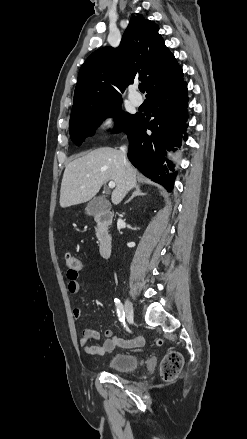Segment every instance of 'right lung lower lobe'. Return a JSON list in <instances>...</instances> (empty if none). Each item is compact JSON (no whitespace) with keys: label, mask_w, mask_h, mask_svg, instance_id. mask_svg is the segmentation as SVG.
Instances as JSON below:
<instances>
[{"label":"right lung lower lobe","mask_w":247,"mask_h":439,"mask_svg":"<svg viewBox=\"0 0 247 439\" xmlns=\"http://www.w3.org/2000/svg\"><path fill=\"white\" fill-rule=\"evenodd\" d=\"M148 100L154 119L149 121L143 114H137L135 121L125 131L130 141L128 158L145 176L171 191L176 172H168V168L173 169L169 161L168 168L163 163L166 149L180 146L183 131L188 126H185L188 117L187 83L183 81L152 95Z\"/></svg>","instance_id":"right-lung-lower-lobe-1"}]
</instances>
